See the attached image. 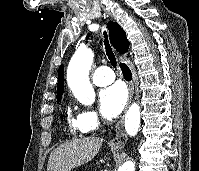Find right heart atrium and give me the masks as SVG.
<instances>
[{
    "instance_id": "right-heart-atrium-1",
    "label": "right heart atrium",
    "mask_w": 199,
    "mask_h": 171,
    "mask_svg": "<svg viewBox=\"0 0 199 171\" xmlns=\"http://www.w3.org/2000/svg\"><path fill=\"white\" fill-rule=\"evenodd\" d=\"M79 121L81 128L86 133L97 130L101 125L99 114L96 111L90 109L84 110L79 115Z\"/></svg>"
}]
</instances>
